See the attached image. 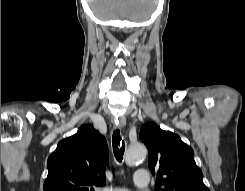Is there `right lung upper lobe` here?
<instances>
[{
    "mask_svg": "<svg viewBox=\"0 0 245 191\" xmlns=\"http://www.w3.org/2000/svg\"><path fill=\"white\" fill-rule=\"evenodd\" d=\"M108 163L105 138L92 126L61 140L47 161L44 191H94L105 185Z\"/></svg>",
    "mask_w": 245,
    "mask_h": 191,
    "instance_id": "1",
    "label": "right lung upper lobe"
}]
</instances>
